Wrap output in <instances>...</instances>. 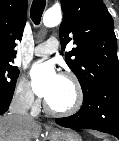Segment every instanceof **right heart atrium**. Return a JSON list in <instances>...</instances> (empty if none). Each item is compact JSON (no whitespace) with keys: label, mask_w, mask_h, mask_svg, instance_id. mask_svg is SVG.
I'll use <instances>...</instances> for the list:
<instances>
[{"label":"right heart atrium","mask_w":119,"mask_h":141,"mask_svg":"<svg viewBox=\"0 0 119 141\" xmlns=\"http://www.w3.org/2000/svg\"><path fill=\"white\" fill-rule=\"evenodd\" d=\"M15 99L22 107L28 109L34 108L37 104L32 87L25 78H21L16 85Z\"/></svg>","instance_id":"1"}]
</instances>
